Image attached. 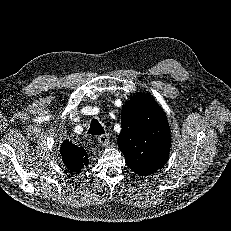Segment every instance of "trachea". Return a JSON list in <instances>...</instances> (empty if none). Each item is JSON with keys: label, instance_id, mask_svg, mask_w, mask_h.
<instances>
[{"label": "trachea", "instance_id": "obj_1", "mask_svg": "<svg viewBox=\"0 0 231 231\" xmlns=\"http://www.w3.org/2000/svg\"><path fill=\"white\" fill-rule=\"evenodd\" d=\"M88 133L91 135H102L105 133V130L97 119H92Z\"/></svg>", "mask_w": 231, "mask_h": 231}]
</instances>
